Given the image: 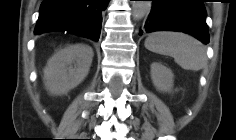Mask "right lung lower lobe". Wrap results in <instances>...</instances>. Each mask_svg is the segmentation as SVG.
Returning a JSON list of instances; mask_svg holds the SVG:
<instances>
[{
	"mask_svg": "<svg viewBox=\"0 0 236 140\" xmlns=\"http://www.w3.org/2000/svg\"><path fill=\"white\" fill-rule=\"evenodd\" d=\"M109 0H43L35 34L67 31L99 40L102 13Z\"/></svg>",
	"mask_w": 236,
	"mask_h": 140,
	"instance_id": "obj_1",
	"label": "right lung lower lobe"
}]
</instances>
